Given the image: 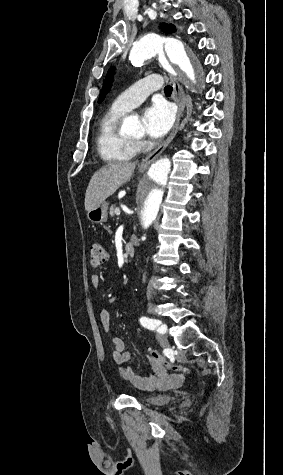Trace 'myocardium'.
Here are the masks:
<instances>
[{
	"label": "myocardium",
	"mask_w": 283,
	"mask_h": 475,
	"mask_svg": "<svg viewBox=\"0 0 283 475\" xmlns=\"http://www.w3.org/2000/svg\"><path fill=\"white\" fill-rule=\"evenodd\" d=\"M130 140H131L132 142H135V141H136V139H135V138H130Z\"/></svg>",
	"instance_id": "myocardium-1"
}]
</instances>
